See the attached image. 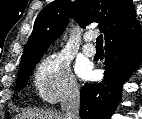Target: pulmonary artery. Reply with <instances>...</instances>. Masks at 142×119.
Instances as JSON below:
<instances>
[{"mask_svg": "<svg viewBox=\"0 0 142 119\" xmlns=\"http://www.w3.org/2000/svg\"><path fill=\"white\" fill-rule=\"evenodd\" d=\"M92 40V35L88 34L84 37L85 44L82 46V52L86 56H93L96 52L95 47L90 43Z\"/></svg>", "mask_w": 142, "mask_h": 119, "instance_id": "pulmonary-artery-1", "label": "pulmonary artery"}]
</instances>
